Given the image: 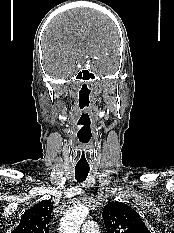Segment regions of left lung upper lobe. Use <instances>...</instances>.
Listing matches in <instances>:
<instances>
[{
    "label": "left lung upper lobe",
    "instance_id": "1",
    "mask_svg": "<svg viewBox=\"0 0 174 233\" xmlns=\"http://www.w3.org/2000/svg\"><path fill=\"white\" fill-rule=\"evenodd\" d=\"M107 233H150L139 214L122 202H109L103 212Z\"/></svg>",
    "mask_w": 174,
    "mask_h": 233
}]
</instances>
